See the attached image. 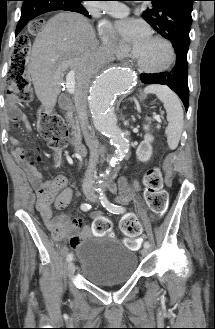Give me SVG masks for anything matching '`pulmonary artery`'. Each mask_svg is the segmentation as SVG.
Listing matches in <instances>:
<instances>
[{
    "mask_svg": "<svg viewBox=\"0 0 215 329\" xmlns=\"http://www.w3.org/2000/svg\"><path fill=\"white\" fill-rule=\"evenodd\" d=\"M97 8L114 17H124L128 15L129 8L120 2H110L105 4H96Z\"/></svg>",
    "mask_w": 215,
    "mask_h": 329,
    "instance_id": "e3ab8cb5",
    "label": "pulmonary artery"
}]
</instances>
